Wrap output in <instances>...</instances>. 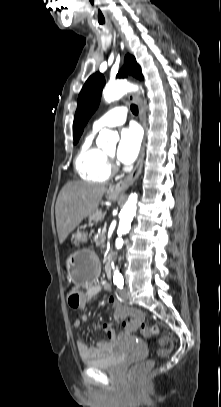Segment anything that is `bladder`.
Wrapping results in <instances>:
<instances>
[{"label": "bladder", "instance_id": "31cf9c89", "mask_svg": "<svg viewBox=\"0 0 221 407\" xmlns=\"http://www.w3.org/2000/svg\"><path fill=\"white\" fill-rule=\"evenodd\" d=\"M141 349H145V344L138 342ZM125 361V356L117 349L112 355L96 360L85 361V365L92 368L101 370L116 371Z\"/></svg>", "mask_w": 221, "mask_h": 407}]
</instances>
